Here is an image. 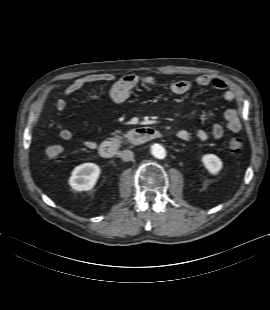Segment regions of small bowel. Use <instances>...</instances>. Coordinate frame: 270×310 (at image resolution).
I'll return each instance as SVG.
<instances>
[{"mask_svg":"<svg viewBox=\"0 0 270 310\" xmlns=\"http://www.w3.org/2000/svg\"><path fill=\"white\" fill-rule=\"evenodd\" d=\"M114 81L111 90L110 97L115 103H123L130 95L131 91L139 84L144 83L147 85H157V82L152 77L140 78L137 75L129 74L125 75L119 79L111 73H95L89 74L80 78L75 79L64 91V96L58 99L55 103V109L58 112L63 111L67 107V98L78 92L84 86L93 83L100 82H112ZM200 87L213 86L217 90L223 91L222 98L225 101H233L238 97V91L229 88L227 83L217 77H212L210 75H200L194 82L190 80H178L171 82L168 85V89L176 95H182L189 92L193 85ZM224 118L226 121L227 129L233 133H237L242 129V123L239 117V113L235 108H229L224 112ZM56 131L59 137L65 141H69L73 138V133L70 129L64 127L62 124L58 123L56 125ZM225 128L222 124L216 123L211 128V135L214 139L219 140L224 136ZM209 133L204 129H198L194 133L187 130H180L177 133V137L182 141H190L193 138L199 141H206L208 139ZM81 144L88 149H95L97 143L82 139Z\"/></svg>","mask_w":270,"mask_h":310,"instance_id":"c3829d8e","label":"small bowel"}]
</instances>
